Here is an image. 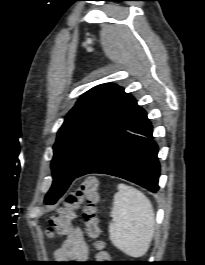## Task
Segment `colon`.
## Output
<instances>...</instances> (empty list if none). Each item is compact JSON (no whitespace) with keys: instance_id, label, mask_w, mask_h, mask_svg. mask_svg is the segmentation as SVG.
Segmentation results:
<instances>
[{"instance_id":"colon-1","label":"colon","mask_w":205,"mask_h":265,"mask_svg":"<svg viewBox=\"0 0 205 265\" xmlns=\"http://www.w3.org/2000/svg\"><path fill=\"white\" fill-rule=\"evenodd\" d=\"M98 200V181L95 177H87L79 186L77 192L70 196L55 215L49 219L47 235L55 237L64 235L71 230V223L75 217L76 209L83 204V219L90 238L97 239L99 235L98 220L96 216V202ZM98 250L95 261L97 265L105 263L108 255L103 250L101 241L95 242Z\"/></svg>"}]
</instances>
